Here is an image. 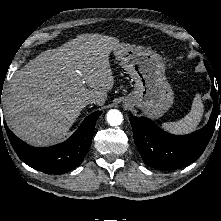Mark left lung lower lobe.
Instances as JSON below:
<instances>
[{
    "instance_id": "left-lung-lower-lobe-1",
    "label": "left lung lower lobe",
    "mask_w": 221,
    "mask_h": 221,
    "mask_svg": "<svg viewBox=\"0 0 221 221\" xmlns=\"http://www.w3.org/2000/svg\"><path fill=\"white\" fill-rule=\"evenodd\" d=\"M205 65L213 82L211 71L206 63ZM219 94L221 103V93ZM211 96L214 107L208 124L189 135L169 134L146 117L129 118L135 144L146 165L157 170H173L184 167L200 157L214 132L217 120L218 103L214 84Z\"/></svg>"
}]
</instances>
